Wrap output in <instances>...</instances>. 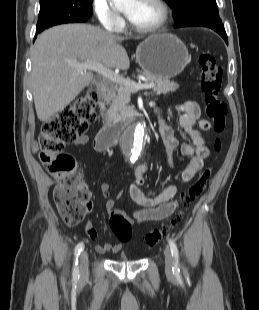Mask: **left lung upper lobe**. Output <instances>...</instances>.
Wrapping results in <instances>:
<instances>
[{
    "mask_svg": "<svg viewBox=\"0 0 259 310\" xmlns=\"http://www.w3.org/2000/svg\"><path fill=\"white\" fill-rule=\"evenodd\" d=\"M174 10V27L190 24L223 28L215 0H165Z\"/></svg>",
    "mask_w": 259,
    "mask_h": 310,
    "instance_id": "1",
    "label": "left lung upper lobe"
}]
</instances>
